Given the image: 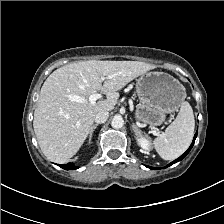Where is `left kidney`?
<instances>
[{
	"label": "left kidney",
	"mask_w": 224,
	"mask_h": 224,
	"mask_svg": "<svg viewBox=\"0 0 224 224\" xmlns=\"http://www.w3.org/2000/svg\"><path fill=\"white\" fill-rule=\"evenodd\" d=\"M137 143L145 152L150 151L151 144H150V141L148 138L141 136V137L137 138Z\"/></svg>",
	"instance_id": "1"
}]
</instances>
